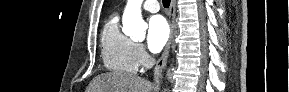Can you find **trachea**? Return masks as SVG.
Masks as SVG:
<instances>
[{
    "label": "trachea",
    "mask_w": 289,
    "mask_h": 92,
    "mask_svg": "<svg viewBox=\"0 0 289 92\" xmlns=\"http://www.w3.org/2000/svg\"><path fill=\"white\" fill-rule=\"evenodd\" d=\"M170 0H163V6L165 7V8H168L169 7V5H170Z\"/></svg>",
    "instance_id": "obj_1"
}]
</instances>
